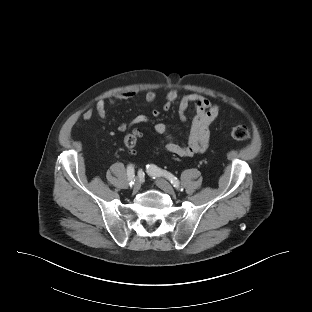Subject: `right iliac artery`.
Masks as SVG:
<instances>
[{
  "mask_svg": "<svg viewBox=\"0 0 312 312\" xmlns=\"http://www.w3.org/2000/svg\"><path fill=\"white\" fill-rule=\"evenodd\" d=\"M139 174L140 175H143L144 173L141 171H139ZM127 175H128V181H129V184L132 185L134 184V177H135V171H134V167L132 165H129L127 167Z\"/></svg>",
  "mask_w": 312,
  "mask_h": 312,
  "instance_id": "1",
  "label": "right iliac artery"
}]
</instances>
